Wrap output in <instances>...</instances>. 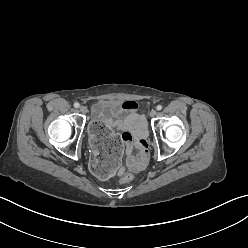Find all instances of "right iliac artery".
<instances>
[{
	"instance_id": "1",
	"label": "right iliac artery",
	"mask_w": 248,
	"mask_h": 248,
	"mask_svg": "<svg viewBox=\"0 0 248 248\" xmlns=\"http://www.w3.org/2000/svg\"><path fill=\"white\" fill-rule=\"evenodd\" d=\"M74 107L75 108H79L80 107V104L78 102L74 103Z\"/></svg>"
}]
</instances>
